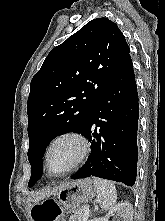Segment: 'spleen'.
<instances>
[{"label": "spleen", "instance_id": "3e777b00", "mask_svg": "<svg viewBox=\"0 0 165 221\" xmlns=\"http://www.w3.org/2000/svg\"><path fill=\"white\" fill-rule=\"evenodd\" d=\"M97 190L98 202L103 210H110L116 203L117 191L114 184L108 180L93 178Z\"/></svg>", "mask_w": 165, "mask_h": 221}]
</instances>
